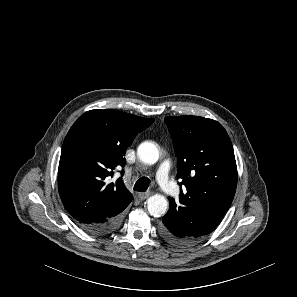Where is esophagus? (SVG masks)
I'll return each instance as SVG.
<instances>
[{"instance_id":"esophagus-1","label":"esophagus","mask_w":297,"mask_h":297,"mask_svg":"<svg viewBox=\"0 0 297 297\" xmlns=\"http://www.w3.org/2000/svg\"><path fill=\"white\" fill-rule=\"evenodd\" d=\"M151 192H142V193H139L138 197L140 200H145L147 199L149 196H151Z\"/></svg>"}]
</instances>
